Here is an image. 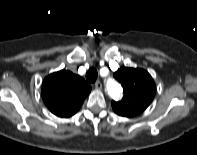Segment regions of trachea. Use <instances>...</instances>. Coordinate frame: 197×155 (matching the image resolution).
<instances>
[{
	"label": "trachea",
	"instance_id": "trachea-1",
	"mask_svg": "<svg viewBox=\"0 0 197 155\" xmlns=\"http://www.w3.org/2000/svg\"><path fill=\"white\" fill-rule=\"evenodd\" d=\"M98 72L95 68H90L86 73V79L90 83H94L97 79Z\"/></svg>",
	"mask_w": 197,
	"mask_h": 155
}]
</instances>
